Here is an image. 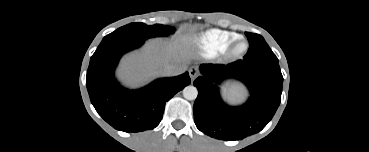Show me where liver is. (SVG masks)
<instances>
[{
  "instance_id": "1",
  "label": "liver",
  "mask_w": 369,
  "mask_h": 152,
  "mask_svg": "<svg viewBox=\"0 0 369 152\" xmlns=\"http://www.w3.org/2000/svg\"><path fill=\"white\" fill-rule=\"evenodd\" d=\"M188 54L176 42L161 39L150 40L140 51L125 56L118 69V76L128 86L137 87L150 79L165 75L164 66L173 64L187 67Z\"/></svg>"
}]
</instances>
